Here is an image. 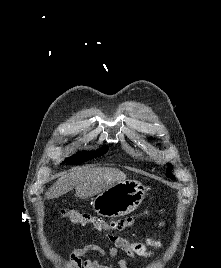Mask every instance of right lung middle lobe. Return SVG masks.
Masks as SVG:
<instances>
[{
    "label": "right lung middle lobe",
    "instance_id": "dd1d6c3e",
    "mask_svg": "<svg viewBox=\"0 0 221 268\" xmlns=\"http://www.w3.org/2000/svg\"><path fill=\"white\" fill-rule=\"evenodd\" d=\"M107 151H108V146H104L100 150L95 151V152H83V153L76 154L72 157L65 159V161H63V163L80 164V163H83L85 161L91 160L94 157H99V156L105 154Z\"/></svg>",
    "mask_w": 221,
    "mask_h": 268
}]
</instances>
